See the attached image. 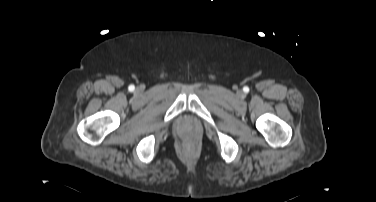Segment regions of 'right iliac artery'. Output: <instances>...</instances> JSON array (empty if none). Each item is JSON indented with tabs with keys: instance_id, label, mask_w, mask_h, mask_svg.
<instances>
[{
	"instance_id": "right-iliac-artery-1",
	"label": "right iliac artery",
	"mask_w": 376,
	"mask_h": 202,
	"mask_svg": "<svg viewBox=\"0 0 376 202\" xmlns=\"http://www.w3.org/2000/svg\"><path fill=\"white\" fill-rule=\"evenodd\" d=\"M129 90H130V91L134 90V86L131 85V86L129 87Z\"/></svg>"
}]
</instances>
